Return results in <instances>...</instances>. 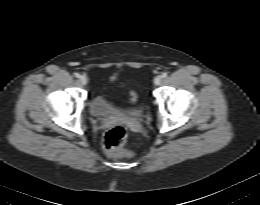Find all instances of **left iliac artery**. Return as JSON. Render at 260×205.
<instances>
[{
    "mask_svg": "<svg viewBox=\"0 0 260 205\" xmlns=\"http://www.w3.org/2000/svg\"><path fill=\"white\" fill-rule=\"evenodd\" d=\"M167 75H168V74H167L166 72H164V73L162 74V77H163V78H166Z\"/></svg>",
    "mask_w": 260,
    "mask_h": 205,
    "instance_id": "44dca946",
    "label": "left iliac artery"
}]
</instances>
